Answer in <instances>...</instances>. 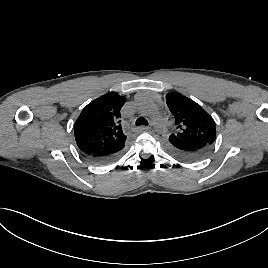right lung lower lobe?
<instances>
[{"label": "right lung lower lobe", "mask_w": 268, "mask_h": 268, "mask_svg": "<svg viewBox=\"0 0 268 268\" xmlns=\"http://www.w3.org/2000/svg\"><path fill=\"white\" fill-rule=\"evenodd\" d=\"M124 148H117L114 149L112 151L109 152H105V153H94V154H86L84 153V155L89 158L90 160L96 162V163H101V164H106V163H110L112 161H114L115 159H117L119 157V155L121 154V150Z\"/></svg>", "instance_id": "98d812e1"}]
</instances>
